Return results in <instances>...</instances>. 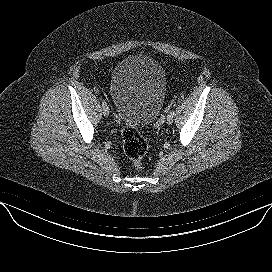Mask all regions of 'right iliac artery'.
<instances>
[{"instance_id":"obj_1","label":"right iliac artery","mask_w":272,"mask_h":272,"mask_svg":"<svg viewBox=\"0 0 272 272\" xmlns=\"http://www.w3.org/2000/svg\"><path fill=\"white\" fill-rule=\"evenodd\" d=\"M102 106L103 107L107 106V103L104 100L102 101Z\"/></svg>"}]
</instances>
